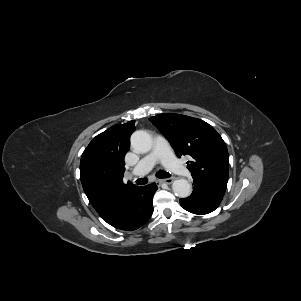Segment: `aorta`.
<instances>
[{
    "instance_id": "obj_1",
    "label": "aorta",
    "mask_w": 301,
    "mask_h": 301,
    "mask_svg": "<svg viewBox=\"0 0 301 301\" xmlns=\"http://www.w3.org/2000/svg\"><path fill=\"white\" fill-rule=\"evenodd\" d=\"M131 147L136 153H147L151 150L153 142L149 133L144 130L135 131L130 138ZM176 196L186 198L191 194V185L186 179H176L172 183Z\"/></svg>"
}]
</instances>
